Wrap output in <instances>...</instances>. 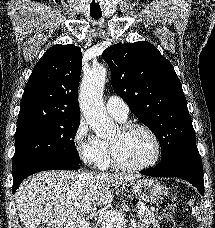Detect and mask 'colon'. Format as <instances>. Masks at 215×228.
Wrapping results in <instances>:
<instances>
[{
    "mask_svg": "<svg viewBox=\"0 0 215 228\" xmlns=\"http://www.w3.org/2000/svg\"><path fill=\"white\" fill-rule=\"evenodd\" d=\"M177 207V201L172 194L163 197L159 205V217L157 220V228H175L174 219L165 212H174Z\"/></svg>",
    "mask_w": 215,
    "mask_h": 228,
    "instance_id": "1",
    "label": "colon"
}]
</instances>
